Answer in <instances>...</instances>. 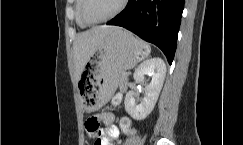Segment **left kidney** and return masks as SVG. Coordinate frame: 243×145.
I'll return each mask as SVG.
<instances>
[{"label":"left kidney","mask_w":243,"mask_h":145,"mask_svg":"<svg viewBox=\"0 0 243 145\" xmlns=\"http://www.w3.org/2000/svg\"><path fill=\"white\" fill-rule=\"evenodd\" d=\"M145 75H152L153 78L145 86V96L140 104L136 103V92L129 91L125 96V110L135 120L145 119L155 107L166 76L164 61L159 57L144 61L135 70L133 78L138 83H144Z\"/></svg>","instance_id":"obj_1"}]
</instances>
